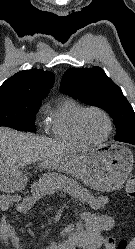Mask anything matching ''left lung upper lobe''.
Listing matches in <instances>:
<instances>
[{"mask_svg":"<svg viewBox=\"0 0 135 249\" xmlns=\"http://www.w3.org/2000/svg\"><path fill=\"white\" fill-rule=\"evenodd\" d=\"M61 91L82 102L97 106L113 119L119 142H135V113L122 90L100 67L68 69L61 80Z\"/></svg>","mask_w":135,"mask_h":249,"instance_id":"5c2ea615","label":"left lung upper lobe"}]
</instances>
